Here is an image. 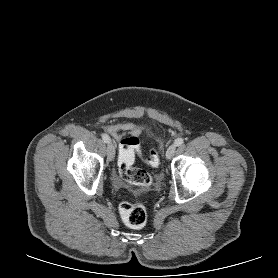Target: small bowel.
<instances>
[{"instance_id": "c3829d8e", "label": "small bowel", "mask_w": 278, "mask_h": 278, "mask_svg": "<svg viewBox=\"0 0 278 278\" xmlns=\"http://www.w3.org/2000/svg\"><path fill=\"white\" fill-rule=\"evenodd\" d=\"M106 131L116 140L129 135L138 138L142 133V127L133 122H124L120 124H110L106 126Z\"/></svg>"}]
</instances>
